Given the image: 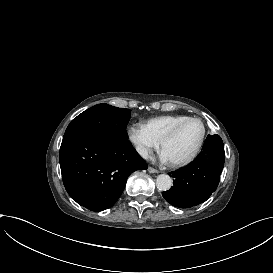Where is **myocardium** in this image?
<instances>
[{
	"mask_svg": "<svg viewBox=\"0 0 273 273\" xmlns=\"http://www.w3.org/2000/svg\"><path fill=\"white\" fill-rule=\"evenodd\" d=\"M197 120L199 122H201L202 126H203V132H202V136L196 146V148L194 149V151L192 152V154L187 157L184 160L181 161H176V162H169L170 166L175 167V168H180V167H185L189 164H191L199 155V153L201 152V149L204 145L206 136H207V132H208V126L205 120H203L202 118L198 117V116H190L187 119L177 123L175 126H173L165 135L164 137L161 139L160 141V147L163 150L165 144L167 142H169L170 140H172L176 134L178 133V131L187 123Z\"/></svg>",
	"mask_w": 273,
	"mask_h": 273,
	"instance_id": "f54148a6",
	"label": "myocardium"
}]
</instances>
